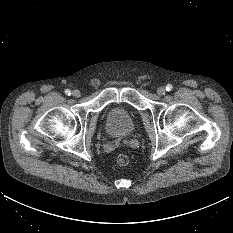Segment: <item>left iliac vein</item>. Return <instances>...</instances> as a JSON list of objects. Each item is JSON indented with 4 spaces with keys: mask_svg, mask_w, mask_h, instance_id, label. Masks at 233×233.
Returning a JSON list of instances; mask_svg holds the SVG:
<instances>
[{
    "mask_svg": "<svg viewBox=\"0 0 233 233\" xmlns=\"http://www.w3.org/2000/svg\"><path fill=\"white\" fill-rule=\"evenodd\" d=\"M165 93H166V89H165L164 87H159V88L157 89V94H158V95L162 96V95H164Z\"/></svg>",
    "mask_w": 233,
    "mask_h": 233,
    "instance_id": "obj_1",
    "label": "left iliac vein"
}]
</instances>
